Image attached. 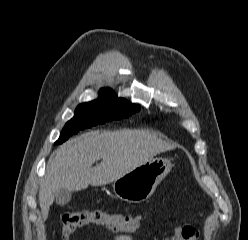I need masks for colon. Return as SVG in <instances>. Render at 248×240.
Listing matches in <instances>:
<instances>
[{"mask_svg":"<svg viewBox=\"0 0 248 240\" xmlns=\"http://www.w3.org/2000/svg\"><path fill=\"white\" fill-rule=\"evenodd\" d=\"M146 214H109L98 209L67 210L60 217V232L63 240H68L77 229L88 225H102L113 232L131 234L145 223Z\"/></svg>","mask_w":248,"mask_h":240,"instance_id":"colon-1","label":"colon"}]
</instances>
